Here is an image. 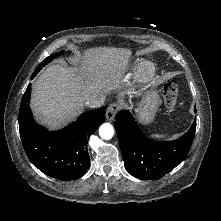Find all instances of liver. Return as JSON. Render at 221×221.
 <instances>
[{"instance_id": "6515ba94", "label": "liver", "mask_w": 221, "mask_h": 221, "mask_svg": "<svg viewBox=\"0 0 221 221\" xmlns=\"http://www.w3.org/2000/svg\"><path fill=\"white\" fill-rule=\"evenodd\" d=\"M130 51L98 47L85 51L81 68L67 64L49 66L33 83L31 107L35 117L58 128L77 117L86 101L108 92L125 71Z\"/></svg>"}]
</instances>
